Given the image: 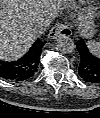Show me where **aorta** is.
Segmentation results:
<instances>
[{
  "label": "aorta",
  "instance_id": "aorta-1",
  "mask_svg": "<svg viewBox=\"0 0 100 118\" xmlns=\"http://www.w3.org/2000/svg\"><path fill=\"white\" fill-rule=\"evenodd\" d=\"M56 48L61 53L69 54V53H72L74 51L75 44L70 37H68L66 35H61L56 40Z\"/></svg>",
  "mask_w": 100,
  "mask_h": 118
}]
</instances>
